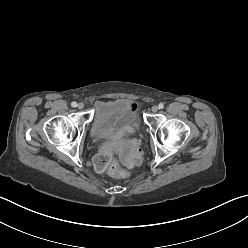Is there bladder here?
<instances>
[{"instance_id":"obj_1","label":"bladder","mask_w":248,"mask_h":248,"mask_svg":"<svg viewBox=\"0 0 248 248\" xmlns=\"http://www.w3.org/2000/svg\"><path fill=\"white\" fill-rule=\"evenodd\" d=\"M140 126L135 103L117 98L96 104L91 134L97 140L111 139L123 136L131 129L139 130Z\"/></svg>"}]
</instances>
